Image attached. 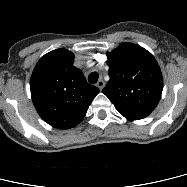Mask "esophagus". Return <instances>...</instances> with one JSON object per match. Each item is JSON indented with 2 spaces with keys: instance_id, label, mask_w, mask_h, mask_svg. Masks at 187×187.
I'll return each instance as SVG.
<instances>
[{
  "instance_id": "obj_1",
  "label": "esophagus",
  "mask_w": 187,
  "mask_h": 187,
  "mask_svg": "<svg viewBox=\"0 0 187 187\" xmlns=\"http://www.w3.org/2000/svg\"><path fill=\"white\" fill-rule=\"evenodd\" d=\"M96 86H97L100 90H102V89L104 88V86H105V82H104L102 79H100V80L97 82Z\"/></svg>"
}]
</instances>
